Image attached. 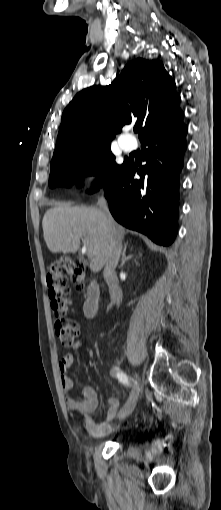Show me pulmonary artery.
Segmentation results:
<instances>
[{
	"mask_svg": "<svg viewBox=\"0 0 221 510\" xmlns=\"http://www.w3.org/2000/svg\"><path fill=\"white\" fill-rule=\"evenodd\" d=\"M119 143L125 151H131L134 148V142L131 136H122L119 139Z\"/></svg>",
	"mask_w": 221,
	"mask_h": 510,
	"instance_id": "e3ab8cb5",
	"label": "pulmonary artery"
}]
</instances>
